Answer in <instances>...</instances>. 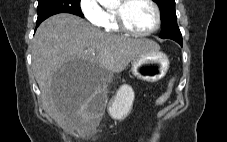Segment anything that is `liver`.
<instances>
[{
	"instance_id": "6515ba94",
	"label": "liver",
	"mask_w": 227,
	"mask_h": 142,
	"mask_svg": "<svg viewBox=\"0 0 227 142\" xmlns=\"http://www.w3.org/2000/svg\"><path fill=\"white\" fill-rule=\"evenodd\" d=\"M151 49H159L153 40L104 33L72 14L46 19L32 41V69L46 111L70 129L94 133L90 117L85 115L95 93L102 90L95 65L119 73L136 56ZM61 61H90V66L84 68L95 73V78L84 81L83 88H56L57 81H52V76Z\"/></svg>"
}]
</instances>
